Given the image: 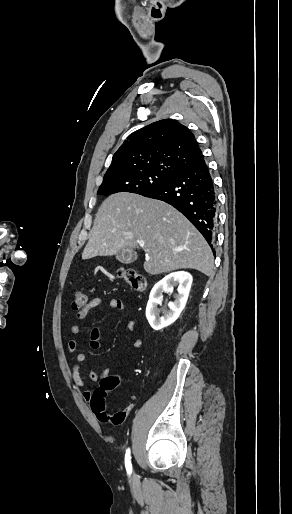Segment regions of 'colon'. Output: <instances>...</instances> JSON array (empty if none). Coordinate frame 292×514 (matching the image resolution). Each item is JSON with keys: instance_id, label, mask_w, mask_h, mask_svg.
I'll return each mask as SVG.
<instances>
[{"instance_id": "1", "label": "colon", "mask_w": 292, "mask_h": 514, "mask_svg": "<svg viewBox=\"0 0 292 514\" xmlns=\"http://www.w3.org/2000/svg\"><path fill=\"white\" fill-rule=\"evenodd\" d=\"M118 276L121 280L127 283L134 292H142L146 289V276L135 270L129 268H119L117 270ZM89 306V300L86 292L78 290L75 294L73 302V311L81 312L85 311ZM117 384L115 376H106L101 380V385L95 390L91 396L93 417L96 420H107L110 414L105 411L107 393L111 392ZM131 411V408L127 407L114 414L112 417L114 423L122 422L125 416Z\"/></svg>"}]
</instances>
